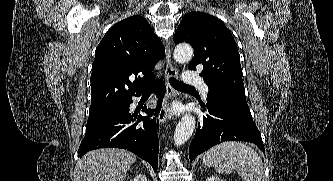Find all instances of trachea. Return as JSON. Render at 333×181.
I'll return each instance as SVG.
<instances>
[{"label":"trachea","mask_w":333,"mask_h":181,"mask_svg":"<svg viewBox=\"0 0 333 181\" xmlns=\"http://www.w3.org/2000/svg\"><path fill=\"white\" fill-rule=\"evenodd\" d=\"M170 81V85L175 88V89H178V90H185V89H195L194 87L192 86H189V85H186L178 80H176L175 78L171 77L169 79Z\"/></svg>","instance_id":"3493384b"}]
</instances>
